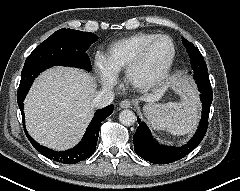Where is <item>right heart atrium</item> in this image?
I'll use <instances>...</instances> for the list:
<instances>
[{"label": "right heart atrium", "mask_w": 240, "mask_h": 191, "mask_svg": "<svg viewBox=\"0 0 240 191\" xmlns=\"http://www.w3.org/2000/svg\"><path fill=\"white\" fill-rule=\"evenodd\" d=\"M95 68L102 80L108 87L117 83V73L112 68L108 58L101 53H97L94 59Z\"/></svg>", "instance_id": "right-heart-atrium-1"}]
</instances>
